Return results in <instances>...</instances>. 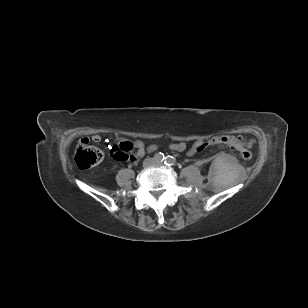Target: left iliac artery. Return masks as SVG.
Wrapping results in <instances>:
<instances>
[{"label":"left iliac artery","instance_id":"44dca946","mask_svg":"<svg viewBox=\"0 0 308 308\" xmlns=\"http://www.w3.org/2000/svg\"><path fill=\"white\" fill-rule=\"evenodd\" d=\"M165 164L166 165H175L176 164V159L172 156H167L165 159Z\"/></svg>","mask_w":308,"mask_h":308}]
</instances>
